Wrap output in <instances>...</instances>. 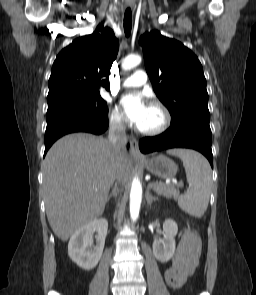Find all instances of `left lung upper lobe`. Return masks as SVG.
<instances>
[{
	"instance_id": "5c2ea615",
	"label": "left lung upper lobe",
	"mask_w": 256,
	"mask_h": 295,
	"mask_svg": "<svg viewBox=\"0 0 256 295\" xmlns=\"http://www.w3.org/2000/svg\"><path fill=\"white\" fill-rule=\"evenodd\" d=\"M139 43L153 89L171 114V125L188 119L209 123L206 79L197 56L158 31L145 33Z\"/></svg>"
}]
</instances>
